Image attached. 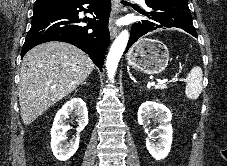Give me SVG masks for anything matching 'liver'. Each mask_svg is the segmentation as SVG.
Returning <instances> with one entry per match:
<instances>
[{"label": "liver", "instance_id": "6515ba94", "mask_svg": "<svg viewBox=\"0 0 227 166\" xmlns=\"http://www.w3.org/2000/svg\"><path fill=\"white\" fill-rule=\"evenodd\" d=\"M94 68L90 57L69 43L52 41L31 49L23 58L18 88L24 125L74 91Z\"/></svg>", "mask_w": 227, "mask_h": 166}]
</instances>
